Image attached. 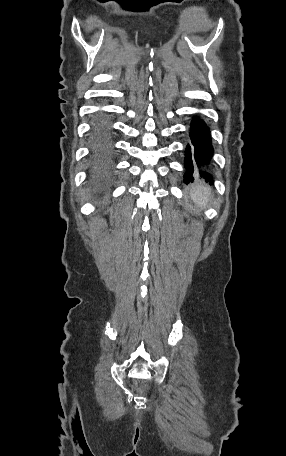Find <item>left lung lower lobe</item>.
<instances>
[{
	"instance_id": "1",
	"label": "left lung lower lobe",
	"mask_w": 286,
	"mask_h": 456,
	"mask_svg": "<svg viewBox=\"0 0 286 456\" xmlns=\"http://www.w3.org/2000/svg\"><path fill=\"white\" fill-rule=\"evenodd\" d=\"M191 130H190V145L186 147V158L185 165L187 166V172L184 176V182L188 184L194 180L193 173V162L197 163L198 167H204L210 163V160L213 155V147L211 145V138L209 134V129L206 124L194 118L191 121ZM200 176L205 178L206 181L212 183V176L201 170L199 172Z\"/></svg>"
}]
</instances>
